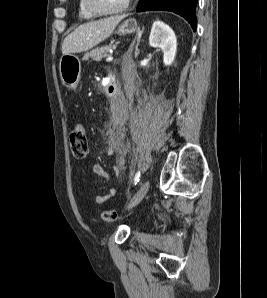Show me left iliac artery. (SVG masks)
<instances>
[{
	"label": "left iliac artery",
	"instance_id": "obj_1",
	"mask_svg": "<svg viewBox=\"0 0 267 298\" xmlns=\"http://www.w3.org/2000/svg\"><path fill=\"white\" fill-rule=\"evenodd\" d=\"M140 180V171L136 172L135 177H134V185H136Z\"/></svg>",
	"mask_w": 267,
	"mask_h": 298
}]
</instances>
